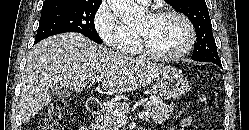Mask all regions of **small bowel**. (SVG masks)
Segmentation results:
<instances>
[{"instance_id":"obj_1","label":"small bowel","mask_w":249,"mask_h":130,"mask_svg":"<svg viewBox=\"0 0 249 130\" xmlns=\"http://www.w3.org/2000/svg\"><path fill=\"white\" fill-rule=\"evenodd\" d=\"M191 123V118L190 117H185L184 119H182L181 121V126L183 127H187L189 126Z\"/></svg>"}]
</instances>
